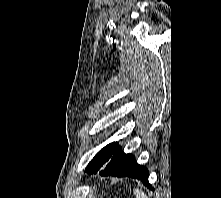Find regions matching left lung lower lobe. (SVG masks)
I'll return each mask as SVG.
<instances>
[{
	"label": "left lung lower lobe",
	"mask_w": 221,
	"mask_h": 198,
	"mask_svg": "<svg viewBox=\"0 0 221 198\" xmlns=\"http://www.w3.org/2000/svg\"><path fill=\"white\" fill-rule=\"evenodd\" d=\"M100 174L140 179L148 187L152 188L148 182L149 173L146 168L137 164L133 155L125 154L122 148L112 155L105 168L100 171Z\"/></svg>",
	"instance_id": "obj_1"
}]
</instances>
